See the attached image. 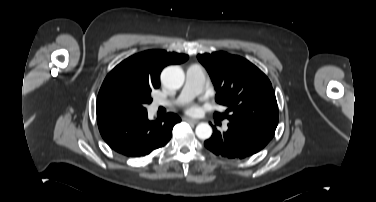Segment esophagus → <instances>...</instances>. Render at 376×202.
<instances>
[{"label":"esophagus","instance_id":"34e87169","mask_svg":"<svg viewBox=\"0 0 376 202\" xmlns=\"http://www.w3.org/2000/svg\"><path fill=\"white\" fill-rule=\"evenodd\" d=\"M184 120L187 121V122H192L194 124H197L199 122L197 119H193V118H190V117H184Z\"/></svg>","mask_w":376,"mask_h":202}]
</instances>
